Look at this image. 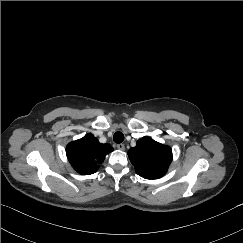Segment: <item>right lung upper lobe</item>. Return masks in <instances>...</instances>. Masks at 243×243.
<instances>
[{
  "label": "right lung upper lobe",
  "instance_id": "1",
  "mask_svg": "<svg viewBox=\"0 0 243 243\" xmlns=\"http://www.w3.org/2000/svg\"><path fill=\"white\" fill-rule=\"evenodd\" d=\"M113 148L109 144H101L91 133L67 145L66 153L72 167L82 175L96 172L98 165Z\"/></svg>",
  "mask_w": 243,
  "mask_h": 243
}]
</instances>
